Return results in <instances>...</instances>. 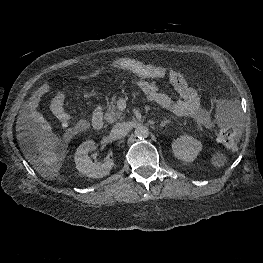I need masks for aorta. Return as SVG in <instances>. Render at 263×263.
I'll use <instances>...</instances> for the list:
<instances>
[{"mask_svg": "<svg viewBox=\"0 0 263 263\" xmlns=\"http://www.w3.org/2000/svg\"><path fill=\"white\" fill-rule=\"evenodd\" d=\"M135 136L139 139H144L149 136V129L146 126L139 125L135 128Z\"/></svg>", "mask_w": 263, "mask_h": 263, "instance_id": "obj_1", "label": "aorta"}]
</instances>
